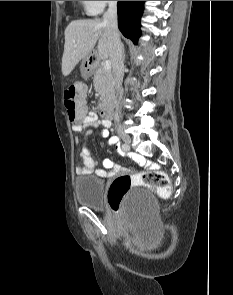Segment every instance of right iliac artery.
I'll return each instance as SVG.
<instances>
[{"label":"right iliac artery","mask_w":233,"mask_h":295,"mask_svg":"<svg viewBox=\"0 0 233 295\" xmlns=\"http://www.w3.org/2000/svg\"><path fill=\"white\" fill-rule=\"evenodd\" d=\"M111 139V138H110ZM122 150H126V145H122Z\"/></svg>","instance_id":"1"}]
</instances>
